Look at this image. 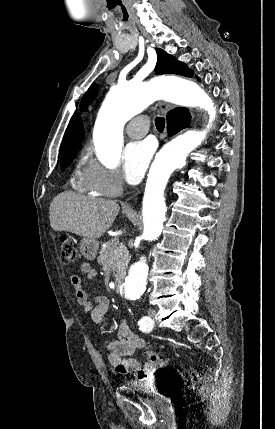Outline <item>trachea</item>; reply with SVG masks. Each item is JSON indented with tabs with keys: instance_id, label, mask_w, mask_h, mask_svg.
Returning a JSON list of instances; mask_svg holds the SVG:
<instances>
[{
	"instance_id": "trachea-1",
	"label": "trachea",
	"mask_w": 275,
	"mask_h": 429,
	"mask_svg": "<svg viewBox=\"0 0 275 429\" xmlns=\"http://www.w3.org/2000/svg\"><path fill=\"white\" fill-rule=\"evenodd\" d=\"M155 126L159 132H163L165 127V119L163 117H157L155 119Z\"/></svg>"
}]
</instances>
